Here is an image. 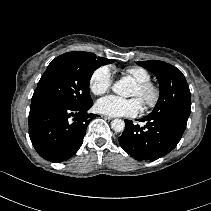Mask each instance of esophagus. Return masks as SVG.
I'll return each mask as SVG.
<instances>
[{
	"instance_id": "34e87169",
	"label": "esophagus",
	"mask_w": 211,
	"mask_h": 211,
	"mask_svg": "<svg viewBox=\"0 0 211 211\" xmlns=\"http://www.w3.org/2000/svg\"><path fill=\"white\" fill-rule=\"evenodd\" d=\"M102 117H103V118H105V119H107V120H111V119H113V117H111V116H107V115H102Z\"/></svg>"
}]
</instances>
